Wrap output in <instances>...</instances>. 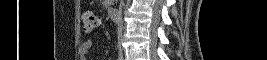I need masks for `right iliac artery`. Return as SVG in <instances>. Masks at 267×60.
<instances>
[{
    "label": "right iliac artery",
    "mask_w": 267,
    "mask_h": 60,
    "mask_svg": "<svg viewBox=\"0 0 267 60\" xmlns=\"http://www.w3.org/2000/svg\"><path fill=\"white\" fill-rule=\"evenodd\" d=\"M118 60H122V58L121 57H118Z\"/></svg>",
    "instance_id": "right-iliac-artery-1"
}]
</instances>
